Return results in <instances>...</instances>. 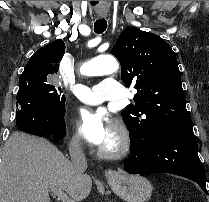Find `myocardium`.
Instances as JSON below:
<instances>
[{
    "mask_svg": "<svg viewBox=\"0 0 209 202\" xmlns=\"http://www.w3.org/2000/svg\"><path fill=\"white\" fill-rule=\"evenodd\" d=\"M113 125L118 133V143L112 149L99 148L97 156L101 159H120L129 154L132 149V139L127 127L120 121H115Z\"/></svg>",
    "mask_w": 209,
    "mask_h": 202,
    "instance_id": "myocardium-1",
    "label": "myocardium"
}]
</instances>
